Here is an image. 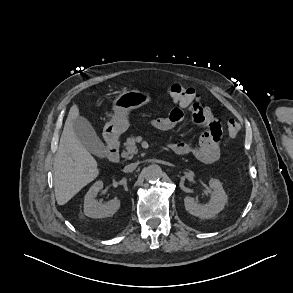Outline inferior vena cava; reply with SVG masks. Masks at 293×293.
Listing matches in <instances>:
<instances>
[{
  "label": "inferior vena cava",
  "instance_id": "obj_1",
  "mask_svg": "<svg viewBox=\"0 0 293 293\" xmlns=\"http://www.w3.org/2000/svg\"><path fill=\"white\" fill-rule=\"evenodd\" d=\"M137 167V163H131L128 164L124 167V172L128 173V172H132L133 170H135Z\"/></svg>",
  "mask_w": 293,
  "mask_h": 293
}]
</instances>
